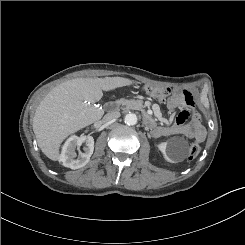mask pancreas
Masks as SVG:
<instances>
[{
	"label": "pancreas",
	"mask_w": 245,
	"mask_h": 245,
	"mask_svg": "<svg viewBox=\"0 0 245 245\" xmlns=\"http://www.w3.org/2000/svg\"><path fill=\"white\" fill-rule=\"evenodd\" d=\"M117 106H121V108L124 110H141L143 106V101L120 99L117 101Z\"/></svg>",
	"instance_id": "cf45deb5"
}]
</instances>
